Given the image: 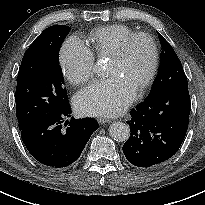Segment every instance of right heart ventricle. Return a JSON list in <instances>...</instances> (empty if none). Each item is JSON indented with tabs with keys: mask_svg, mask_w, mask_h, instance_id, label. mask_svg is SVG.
<instances>
[{
	"mask_svg": "<svg viewBox=\"0 0 205 205\" xmlns=\"http://www.w3.org/2000/svg\"><path fill=\"white\" fill-rule=\"evenodd\" d=\"M133 33L134 30L121 24L100 27L88 36L89 49L97 58H111L125 38Z\"/></svg>",
	"mask_w": 205,
	"mask_h": 205,
	"instance_id": "obj_1",
	"label": "right heart ventricle"
}]
</instances>
